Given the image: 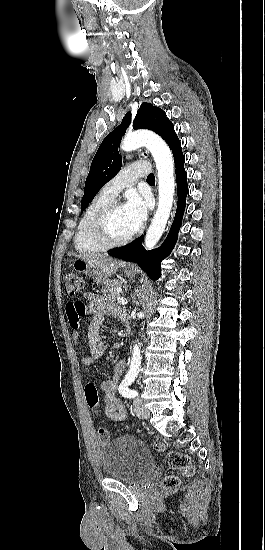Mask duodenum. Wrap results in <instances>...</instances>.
Returning a JSON list of instances; mask_svg holds the SVG:
<instances>
[{"instance_id":"1","label":"duodenum","mask_w":265,"mask_h":550,"mask_svg":"<svg viewBox=\"0 0 265 550\" xmlns=\"http://www.w3.org/2000/svg\"><path fill=\"white\" fill-rule=\"evenodd\" d=\"M125 328H126V331L129 332L130 331V327H129V324L128 322L125 323Z\"/></svg>"}]
</instances>
